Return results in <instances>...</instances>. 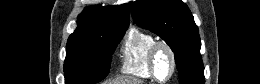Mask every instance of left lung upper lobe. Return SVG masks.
<instances>
[{
    "mask_svg": "<svg viewBox=\"0 0 260 84\" xmlns=\"http://www.w3.org/2000/svg\"><path fill=\"white\" fill-rule=\"evenodd\" d=\"M129 8L135 23L160 36L175 54L180 84H204L198 27L181 0H137Z\"/></svg>",
    "mask_w": 260,
    "mask_h": 84,
    "instance_id": "1",
    "label": "left lung upper lobe"
}]
</instances>
